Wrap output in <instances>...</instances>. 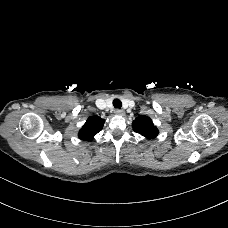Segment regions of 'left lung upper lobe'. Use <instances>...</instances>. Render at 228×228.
Returning <instances> with one entry per match:
<instances>
[{"mask_svg":"<svg viewBox=\"0 0 228 228\" xmlns=\"http://www.w3.org/2000/svg\"><path fill=\"white\" fill-rule=\"evenodd\" d=\"M133 130L146 138H154L158 135V129L152 120L144 115L138 116L132 123Z\"/></svg>","mask_w":228,"mask_h":228,"instance_id":"5c2ea615","label":"left lung upper lobe"}]
</instances>
